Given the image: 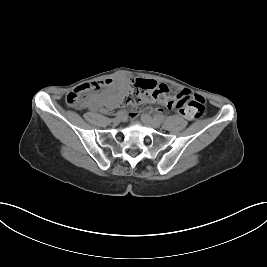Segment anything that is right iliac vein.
Segmentation results:
<instances>
[{
	"label": "right iliac vein",
	"instance_id": "63e3f726",
	"mask_svg": "<svg viewBox=\"0 0 267 267\" xmlns=\"http://www.w3.org/2000/svg\"><path fill=\"white\" fill-rule=\"evenodd\" d=\"M122 120V115L116 116L115 118H113L112 122L115 124L120 123Z\"/></svg>",
	"mask_w": 267,
	"mask_h": 267
}]
</instances>
